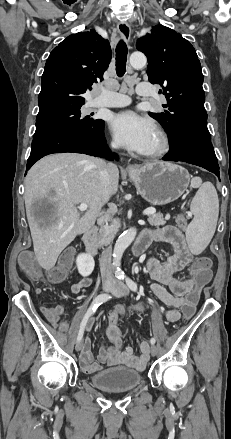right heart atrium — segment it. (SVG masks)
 I'll return each instance as SVG.
<instances>
[{
	"label": "right heart atrium",
	"mask_w": 231,
	"mask_h": 439,
	"mask_svg": "<svg viewBox=\"0 0 231 439\" xmlns=\"http://www.w3.org/2000/svg\"><path fill=\"white\" fill-rule=\"evenodd\" d=\"M117 145H118V144H117L116 141H112V142H111V146H112V147H117Z\"/></svg>",
	"instance_id": "right-heart-atrium-1"
}]
</instances>
